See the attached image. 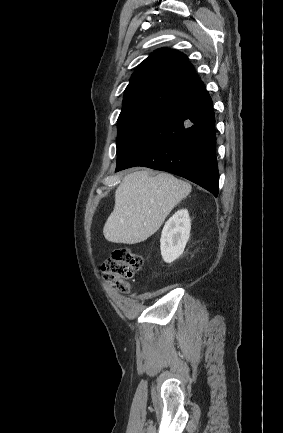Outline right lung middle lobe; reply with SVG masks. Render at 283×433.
<instances>
[{
  "label": "right lung middle lobe",
  "instance_id": "1",
  "mask_svg": "<svg viewBox=\"0 0 283 433\" xmlns=\"http://www.w3.org/2000/svg\"><path fill=\"white\" fill-rule=\"evenodd\" d=\"M160 114L161 112L150 109H122L118 118L117 156L152 119Z\"/></svg>",
  "mask_w": 283,
  "mask_h": 433
}]
</instances>
